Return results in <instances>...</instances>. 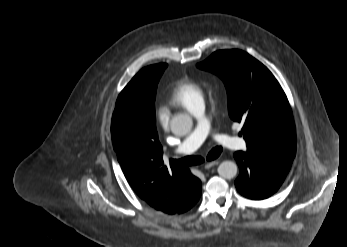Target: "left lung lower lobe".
<instances>
[{
  "instance_id": "0a47b994",
  "label": "left lung lower lobe",
  "mask_w": 347,
  "mask_h": 247,
  "mask_svg": "<svg viewBox=\"0 0 347 247\" xmlns=\"http://www.w3.org/2000/svg\"><path fill=\"white\" fill-rule=\"evenodd\" d=\"M240 169L235 181L239 193L260 200L274 194L285 180L292 158L274 155H256L238 151L234 154Z\"/></svg>"
}]
</instances>
